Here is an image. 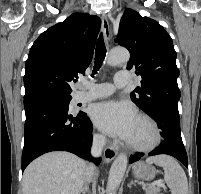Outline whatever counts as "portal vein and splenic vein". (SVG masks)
I'll list each match as a JSON object with an SVG mask.
<instances>
[{
    "label": "portal vein and splenic vein",
    "instance_id": "portal-vein-and-splenic-vein-1",
    "mask_svg": "<svg viewBox=\"0 0 201 194\" xmlns=\"http://www.w3.org/2000/svg\"><path fill=\"white\" fill-rule=\"evenodd\" d=\"M155 186H158V187H165L163 181H161V180H158V181L153 182L149 187H155Z\"/></svg>",
    "mask_w": 201,
    "mask_h": 194
}]
</instances>
